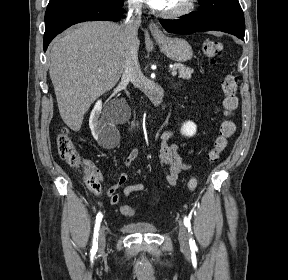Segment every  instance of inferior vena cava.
<instances>
[{
	"label": "inferior vena cava",
	"mask_w": 288,
	"mask_h": 280,
	"mask_svg": "<svg viewBox=\"0 0 288 280\" xmlns=\"http://www.w3.org/2000/svg\"><path fill=\"white\" fill-rule=\"evenodd\" d=\"M140 24L141 5L139 3L129 4L127 19L122 25L126 39L123 77L130 79L139 90H147V94L152 97V99H149V104H154V109L158 110L165 90L161 89L160 81H156L155 78H151L149 81V78H145L141 72L138 63V49L135 45Z\"/></svg>",
	"instance_id": "1"
}]
</instances>
